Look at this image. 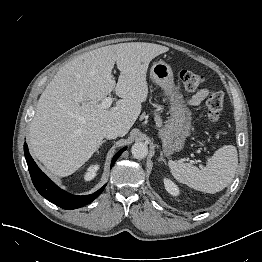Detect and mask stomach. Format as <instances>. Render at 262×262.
<instances>
[{
  "label": "stomach",
  "instance_id": "0dacf381",
  "mask_svg": "<svg viewBox=\"0 0 262 262\" xmlns=\"http://www.w3.org/2000/svg\"><path fill=\"white\" fill-rule=\"evenodd\" d=\"M150 78L164 90L170 100V117L158 131L163 151L170 155L183 149L191 129V111L174 84L170 65L162 61L154 63L150 69Z\"/></svg>",
  "mask_w": 262,
  "mask_h": 262
}]
</instances>
